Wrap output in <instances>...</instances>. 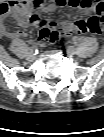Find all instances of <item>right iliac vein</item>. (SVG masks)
I'll return each mask as SVG.
<instances>
[{
    "mask_svg": "<svg viewBox=\"0 0 104 137\" xmlns=\"http://www.w3.org/2000/svg\"><path fill=\"white\" fill-rule=\"evenodd\" d=\"M35 55L33 54V53H29L28 55H27V57H26V59L28 60V61H30V62H32V61H34L35 60Z\"/></svg>",
    "mask_w": 104,
    "mask_h": 137,
    "instance_id": "obj_1",
    "label": "right iliac vein"
}]
</instances>
